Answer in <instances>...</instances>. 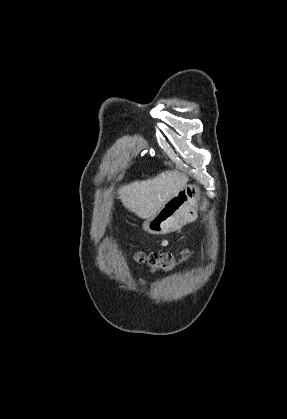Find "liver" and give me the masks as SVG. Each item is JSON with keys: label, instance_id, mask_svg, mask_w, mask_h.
Instances as JSON below:
<instances>
[{"label": "liver", "instance_id": "liver-1", "mask_svg": "<svg viewBox=\"0 0 287 419\" xmlns=\"http://www.w3.org/2000/svg\"><path fill=\"white\" fill-rule=\"evenodd\" d=\"M188 177L178 170L122 186L119 199L124 207L142 219L154 216L164 204L186 186Z\"/></svg>", "mask_w": 287, "mask_h": 419}]
</instances>
